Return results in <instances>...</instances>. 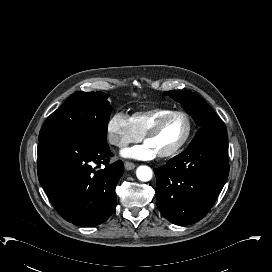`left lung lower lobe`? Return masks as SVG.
Wrapping results in <instances>:
<instances>
[{"label": "left lung lower lobe", "instance_id": "obj_1", "mask_svg": "<svg viewBox=\"0 0 272 272\" xmlns=\"http://www.w3.org/2000/svg\"><path fill=\"white\" fill-rule=\"evenodd\" d=\"M154 172L156 202L162 215L178 225L198 222L212 208L228 178L224 126H202L185 151Z\"/></svg>", "mask_w": 272, "mask_h": 272}]
</instances>
